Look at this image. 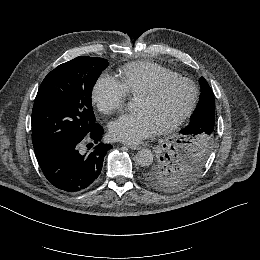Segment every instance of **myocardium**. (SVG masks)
<instances>
[{
	"mask_svg": "<svg viewBox=\"0 0 260 260\" xmlns=\"http://www.w3.org/2000/svg\"><path fill=\"white\" fill-rule=\"evenodd\" d=\"M173 81H181V82L188 84L192 89V93H193L192 98H191L189 105L187 106V108L185 109V111L183 113H181L178 117H176L172 121L156 127L159 132H166V131L172 130L174 128H177L192 114V112L195 109L196 104L198 102V98H199L198 87L195 85L194 82H192L190 79L186 78L185 76L176 74L173 76H167V77L160 78L156 85H154L150 88L144 89L136 95V96H138V95L155 96V95L159 94L166 85H168L169 83H171Z\"/></svg>",
	"mask_w": 260,
	"mask_h": 260,
	"instance_id": "obj_1",
	"label": "myocardium"
}]
</instances>
